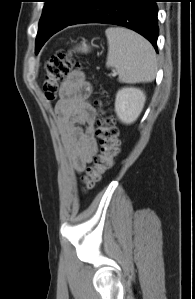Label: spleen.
Returning <instances> with one entry per match:
<instances>
[{"label":"spleen","instance_id":"obj_1","mask_svg":"<svg viewBox=\"0 0 195 299\" xmlns=\"http://www.w3.org/2000/svg\"><path fill=\"white\" fill-rule=\"evenodd\" d=\"M107 65L118 72L122 83L151 82L157 72L153 46L141 35L123 27H109Z\"/></svg>","mask_w":195,"mask_h":299}]
</instances>
